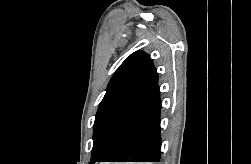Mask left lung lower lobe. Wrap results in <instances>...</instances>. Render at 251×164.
<instances>
[{"mask_svg": "<svg viewBox=\"0 0 251 164\" xmlns=\"http://www.w3.org/2000/svg\"><path fill=\"white\" fill-rule=\"evenodd\" d=\"M161 100L157 82L131 107L101 162H160Z\"/></svg>", "mask_w": 251, "mask_h": 164, "instance_id": "left-lung-lower-lobe-1", "label": "left lung lower lobe"}]
</instances>
